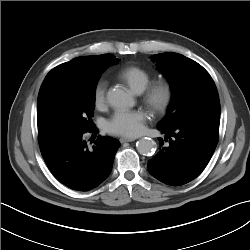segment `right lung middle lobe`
I'll list each match as a JSON object with an SVG mask.
<instances>
[{
	"label": "right lung middle lobe",
	"instance_id": "dd1d6c3e",
	"mask_svg": "<svg viewBox=\"0 0 250 250\" xmlns=\"http://www.w3.org/2000/svg\"><path fill=\"white\" fill-rule=\"evenodd\" d=\"M101 73L63 86L37 110L39 140L93 129L91 117L95 107V89Z\"/></svg>",
	"mask_w": 250,
	"mask_h": 250
}]
</instances>
